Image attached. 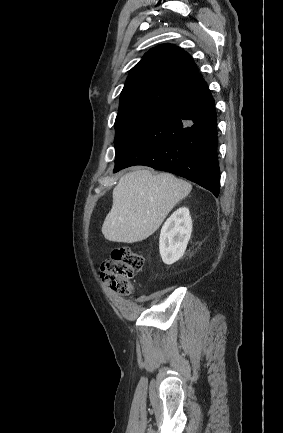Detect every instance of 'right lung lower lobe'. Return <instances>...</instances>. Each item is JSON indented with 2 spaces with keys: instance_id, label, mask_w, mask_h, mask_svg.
<instances>
[{
  "instance_id": "obj_1",
  "label": "right lung lower lobe",
  "mask_w": 283,
  "mask_h": 433,
  "mask_svg": "<svg viewBox=\"0 0 283 433\" xmlns=\"http://www.w3.org/2000/svg\"><path fill=\"white\" fill-rule=\"evenodd\" d=\"M217 118L207 88L153 118L115 159L114 173L133 165L150 166L220 192Z\"/></svg>"
}]
</instances>
